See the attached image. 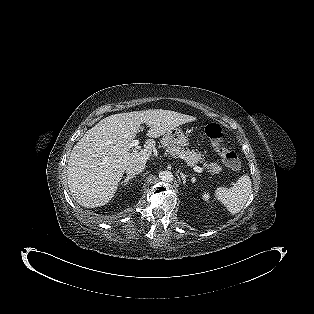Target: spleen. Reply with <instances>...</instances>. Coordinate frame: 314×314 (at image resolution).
Returning a JSON list of instances; mask_svg holds the SVG:
<instances>
[{"mask_svg": "<svg viewBox=\"0 0 314 314\" xmlns=\"http://www.w3.org/2000/svg\"><path fill=\"white\" fill-rule=\"evenodd\" d=\"M251 180L248 175L241 176L230 188L219 187L215 190V197L232 214L239 213L251 194Z\"/></svg>", "mask_w": 314, "mask_h": 314, "instance_id": "obj_1", "label": "spleen"}]
</instances>
